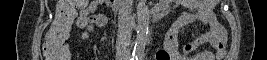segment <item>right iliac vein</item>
<instances>
[{"instance_id":"1","label":"right iliac vein","mask_w":267,"mask_h":60,"mask_svg":"<svg viewBox=\"0 0 267 60\" xmlns=\"http://www.w3.org/2000/svg\"><path fill=\"white\" fill-rule=\"evenodd\" d=\"M121 55H122V54H121V53H119V57H121Z\"/></svg>"}]
</instances>
